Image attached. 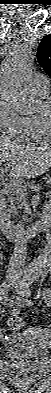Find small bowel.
Segmentation results:
<instances>
[{
    "label": "small bowel",
    "mask_w": 51,
    "mask_h": 393,
    "mask_svg": "<svg viewBox=\"0 0 51 393\" xmlns=\"http://www.w3.org/2000/svg\"><path fill=\"white\" fill-rule=\"evenodd\" d=\"M8 303L10 308V314L13 315V314H18L21 308L30 306L32 304V300L30 298L13 296L9 299ZM32 330L37 332L40 331L35 328L31 329L30 331Z\"/></svg>",
    "instance_id": "c3829d8e"
}]
</instances>
